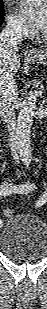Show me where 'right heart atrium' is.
<instances>
[{"mask_svg":"<svg viewBox=\"0 0 47 309\" xmlns=\"http://www.w3.org/2000/svg\"><path fill=\"white\" fill-rule=\"evenodd\" d=\"M7 27L11 33L19 37H25L29 34L27 25L12 12L7 16Z\"/></svg>","mask_w":47,"mask_h":309,"instance_id":"obj_1","label":"right heart atrium"}]
</instances>
